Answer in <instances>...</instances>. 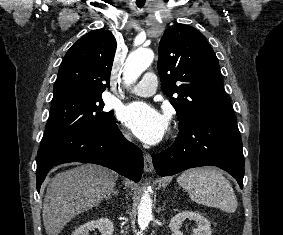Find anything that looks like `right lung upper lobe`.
I'll use <instances>...</instances> for the list:
<instances>
[{
  "mask_svg": "<svg viewBox=\"0 0 283 235\" xmlns=\"http://www.w3.org/2000/svg\"><path fill=\"white\" fill-rule=\"evenodd\" d=\"M115 51L116 39L109 30L98 29L81 37L60 65L52 103L71 97L102 96L110 87Z\"/></svg>",
  "mask_w": 283,
  "mask_h": 235,
  "instance_id": "obj_1",
  "label": "right lung upper lobe"
}]
</instances>
